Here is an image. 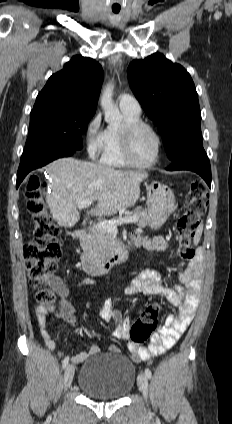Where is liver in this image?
<instances>
[{
	"instance_id": "liver-1",
	"label": "liver",
	"mask_w": 232,
	"mask_h": 424,
	"mask_svg": "<svg viewBox=\"0 0 232 424\" xmlns=\"http://www.w3.org/2000/svg\"><path fill=\"white\" fill-rule=\"evenodd\" d=\"M50 176L46 202L53 219L63 227L74 226L80 218L77 203L97 201L87 214L104 217L135 205L146 171H121L111 167L60 158L46 167Z\"/></svg>"
}]
</instances>
